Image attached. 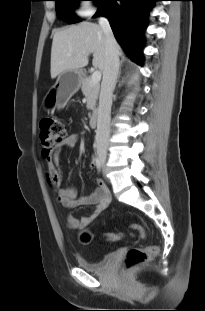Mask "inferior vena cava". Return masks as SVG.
I'll list each match as a JSON object with an SVG mask.
<instances>
[{
	"label": "inferior vena cava",
	"instance_id": "inferior-vena-cava-1",
	"mask_svg": "<svg viewBox=\"0 0 205 311\" xmlns=\"http://www.w3.org/2000/svg\"><path fill=\"white\" fill-rule=\"evenodd\" d=\"M99 25L103 30L106 40V65L103 71V79L101 83L95 141L97 149H101L106 152L110 134L112 94L119 71V51L108 19L100 17Z\"/></svg>",
	"mask_w": 205,
	"mask_h": 311
}]
</instances>
